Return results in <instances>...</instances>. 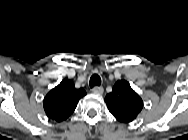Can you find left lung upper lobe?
<instances>
[{
  "instance_id": "5c2ea615",
  "label": "left lung upper lobe",
  "mask_w": 188,
  "mask_h": 140,
  "mask_svg": "<svg viewBox=\"0 0 188 140\" xmlns=\"http://www.w3.org/2000/svg\"><path fill=\"white\" fill-rule=\"evenodd\" d=\"M105 102L113 116L124 123L132 122L143 108L142 99L125 80L116 82Z\"/></svg>"
}]
</instances>
